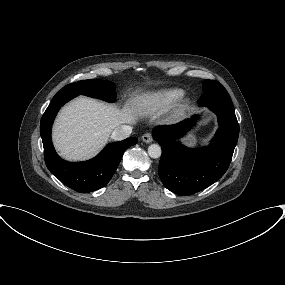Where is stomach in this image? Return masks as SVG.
<instances>
[{
	"label": "stomach",
	"mask_w": 285,
	"mask_h": 285,
	"mask_svg": "<svg viewBox=\"0 0 285 285\" xmlns=\"http://www.w3.org/2000/svg\"><path fill=\"white\" fill-rule=\"evenodd\" d=\"M185 144L192 146L196 143V137L194 134H188L186 137L183 138Z\"/></svg>",
	"instance_id": "stomach-1"
}]
</instances>
